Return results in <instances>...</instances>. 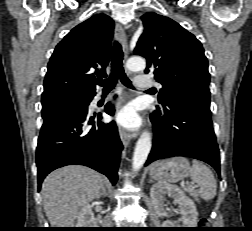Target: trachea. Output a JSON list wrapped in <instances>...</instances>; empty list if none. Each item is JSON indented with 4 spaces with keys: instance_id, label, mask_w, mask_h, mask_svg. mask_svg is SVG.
Wrapping results in <instances>:
<instances>
[{
    "instance_id": "1",
    "label": "trachea",
    "mask_w": 252,
    "mask_h": 231,
    "mask_svg": "<svg viewBox=\"0 0 252 231\" xmlns=\"http://www.w3.org/2000/svg\"><path fill=\"white\" fill-rule=\"evenodd\" d=\"M123 51L120 43L118 41L114 42L113 52H112V62H111V74L105 80H99L97 83L103 86L104 92L111 91L116 85L118 79L128 88H134L131 81L126 76L123 69Z\"/></svg>"
}]
</instances>
